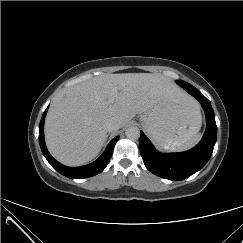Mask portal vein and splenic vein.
<instances>
[{
	"instance_id": "portal-vein-and-splenic-vein-1",
	"label": "portal vein and splenic vein",
	"mask_w": 243,
	"mask_h": 243,
	"mask_svg": "<svg viewBox=\"0 0 243 243\" xmlns=\"http://www.w3.org/2000/svg\"><path fill=\"white\" fill-rule=\"evenodd\" d=\"M116 95H117V91H113V92L110 94V96H109V98H108V100H107V103H108V104H112V103L114 102L115 98H116Z\"/></svg>"
}]
</instances>
